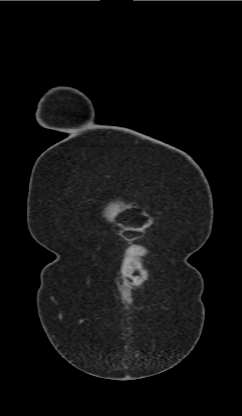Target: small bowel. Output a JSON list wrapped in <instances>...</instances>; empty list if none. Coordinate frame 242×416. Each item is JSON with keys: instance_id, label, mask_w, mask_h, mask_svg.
Returning a JSON list of instances; mask_svg holds the SVG:
<instances>
[{"instance_id": "small-bowel-1", "label": "small bowel", "mask_w": 242, "mask_h": 416, "mask_svg": "<svg viewBox=\"0 0 242 416\" xmlns=\"http://www.w3.org/2000/svg\"><path fill=\"white\" fill-rule=\"evenodd\" d=\"M123 273L126 277L134 280L135 282H140L144 278L143 272H136L131 261L126 259L123 265Z\"/></svg>"}]
</instances>
